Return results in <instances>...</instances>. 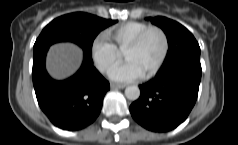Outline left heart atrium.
Instances as JSON below:
<instances>
[{
    "label": "left heart atrium",
    "instance_id": "obj_1",
    "mask_svg": "<svg viewBox=\"0 0 238 145\" xmlns=\"http://www.w3.org/2000/svg\"><path fill=\"white\" fill-rule=\"evenodd\" d=\"M142 75L141 70L130 60H126L110 72V78L117 82H131Z\"/></svg>",
    "mask_w": 238,
    "mask_h": 145
}]
</instances>
